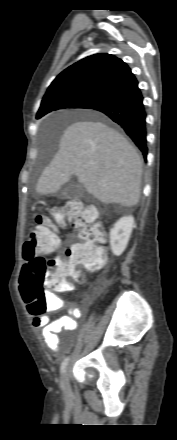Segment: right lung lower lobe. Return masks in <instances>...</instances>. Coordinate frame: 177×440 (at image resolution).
Here are the masks:
<instances>
[{"label":"right lung lower lobe","mask_w":177,"mask_h":440,"mask_svg":"<svg viewBox=\"0 0 177 440\" xmlns=\"http://www.w3.org/2000/svg\"><path fill=\"white\" fill-rule=\"evenodd\" d=\"M86 109L99 111L119 124L146 159V112L137 80L98 98Z\"/></svg>","instance_id":"1"}]
</instances>
